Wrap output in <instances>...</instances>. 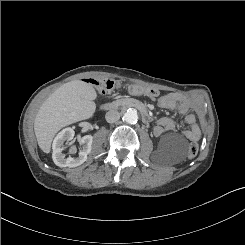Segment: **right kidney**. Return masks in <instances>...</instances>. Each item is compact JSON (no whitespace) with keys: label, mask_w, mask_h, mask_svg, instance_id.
Returning a JSON list of instances; mask_svg holds the SVG:
<instances>
[{"label":"right kidney","mask_w":245,"mask_h":245,"mask_svg":"<svg viewBox=\"0 0 245 245\" xmlns=\"http://www.w3.org/2000/svg\"><path fill=\"white\" fill-rule=\"evenodd\" d=\"M74 134L75 132L72 128H65L54 139L52 158L54 163L59 167H77L87 160V155L91 152L93 137L91 135H86L80 139L82 149L79 152V156L76 158L71 156L65 158V155L63 154V151L66 149L64 142L72 140ZM75 152L76 148L72 147L71 153Z\"/></svg>","instance_id":"ca27d5eb"}]
</instances>
